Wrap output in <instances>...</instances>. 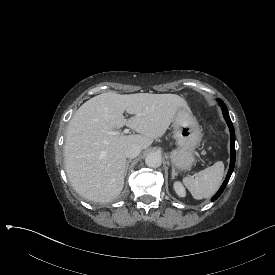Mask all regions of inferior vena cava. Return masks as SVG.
<instances>
[{"instance_id":"1","label":"inferior vena cava","mask_w":275,"mask_h":275,"mask_svg":"<svg viewBox=\"0 0 275 275\" xmlns=\"http://www.w3.org/2000/svg\"><path fill=\"white\" fill-rule=\"evenodd\" d=\"M141 152V147L137 144H128L125 148H124V155L127 158H135L137 157Z\"/></svg>"}]
</instances>
